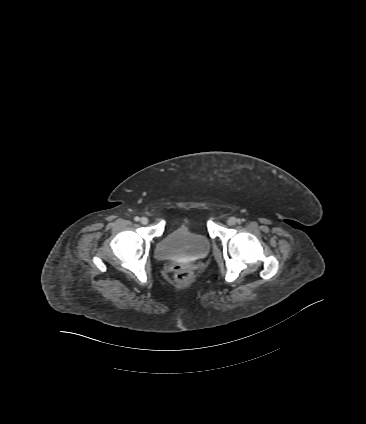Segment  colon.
<instances>
[{
	"mask_svg": "<svg viewBox=\"0 0 366 424\" xmlns=\"http://www.w3.org/2000/svg\"><path fill=\"white\" fill-rule=\"evenodd\" d=\"M172 272L174 274L175 279L181 283L187 282L191 277V271L184 266H174L172 268Z\"/></svg>",
	"mask_w": 366,
	"mask_h": 424,
	"instance_id": "obj_1",
	"label": "colon"
}]
</instances>
